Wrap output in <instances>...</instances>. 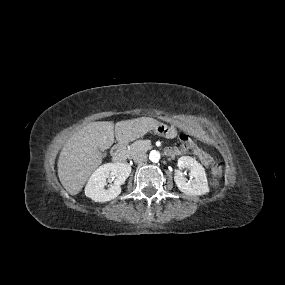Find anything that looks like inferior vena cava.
<instances>
[{"label": "inferior vena cava", "instance_id": "602c4592", "mask_svg": "<svg viewBox=\"0 0 285 285\" xmlns=\"http://www.w3.org/2000/svg\"><path fill=\"white\" fill-rule=\"evenodd\" d=\"M135 163H142L147 160V154L144 152L137 153L133 158Z\"/></svg>", "mask_w": 285, "mask_h": 285}]
</instances>
